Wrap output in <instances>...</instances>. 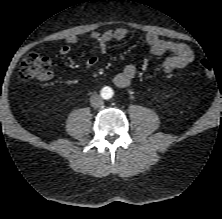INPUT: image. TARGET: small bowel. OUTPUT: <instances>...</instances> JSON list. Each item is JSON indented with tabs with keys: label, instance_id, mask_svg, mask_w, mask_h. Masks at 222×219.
<instances>
[{
	"label": "small bowel",
	"instance_id": "c3829d8e",
	"mask_svg": "<svg viewBox=\"0 0 222 219\" xmlns=\"http://www.w3.org/2000/svg\"><path fill=\"white\" fill-rule=\"evenodd\" d=\"M127 36L128 31L125 28L108 29L91 33L88 39L94 43L96 53L87 57L85 70L91 71L97 65V54L104 53L108 43L111 41L123 40ZM77 42L78 39L75 36H69L67 38V44L60 47L59 53L61 55H67L71 51V46L75 45ZM146 43L152 54L156 56L169 54L161 65L165 73H172L176 70L183 69L194 59L193 52L186 44L172 40H164L153 32L146 35ZM136 73L137 66L135 64H128L113 77V82L119 88L128 87L135 78Z\"/></svg>",
	"mask_w": 222,
	"mask_h": 219
}]
</instances>
